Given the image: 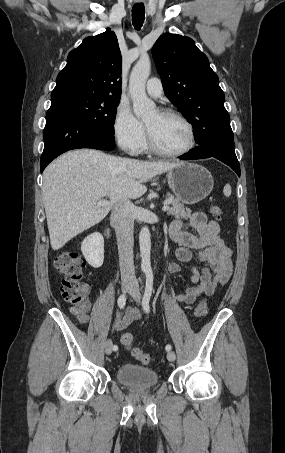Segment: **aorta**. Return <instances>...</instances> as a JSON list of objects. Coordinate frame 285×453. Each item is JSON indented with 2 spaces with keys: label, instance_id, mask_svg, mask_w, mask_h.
Segmentation results:
<instances>
[{
  "label": "aorta",
  "instance_id": "762f6f07",
  "mask_svg": "<svg viewBox=\"0 0 285 453\" xmlns=\"http://www.w3.org/2000/svg\"><path fill=\"white\" fill-rule=\"evenodd\" d=\"M151 62L148 56H141L133 67L129 80V93L133 102V110L137 118L145 119L155 111V103L145 92V84L150 75ZM141 270L151 272V239L148 227L144 226L139 233Z\"/></svg>",
  "mask_w": 285,
  "mask_h": 453
}]
</instances>
